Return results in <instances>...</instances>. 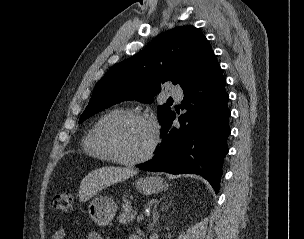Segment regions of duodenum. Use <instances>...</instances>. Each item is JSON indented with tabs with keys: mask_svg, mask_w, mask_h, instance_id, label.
<instances>
[{
	"mask_svg": "<svg viewBox=\"0 0 304 239\" xmlns=\"http://www.w3.org/2000/svg\"><path fill=\"white\" fill-rule=\"evenodd\" d=\"M131 239H141L139 236H133Z\"/></svg>",
	"mask_w": 304,
	"mask_h": 239,
	"instance_id": "1",
	"label": "duodenum"
}]
</instances>
